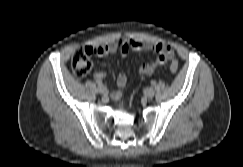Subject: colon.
Returning a JSON list of instances; mask_svg holds the SVG:
<instances>
[{
    "label": "colon",
    "mask_w": 243,
    "mask_h": 167,
    "mask_svg": "<svg viewBox=\"0 0 243 167\" xmlns=\"http://www.w3.org/2000/svg\"><path fill=\"white\" fill-rule=\"evenodd\" d=\"M93 53L92 48H79L76 49L71 57V66L73 72L78 77L86 76L92 69L91 55ZM179 64L177 60H173L170 63V71L175 73L178 70Z\"/></svg>",
    "instance_id": "5ec220e1"
}]
</instances>
